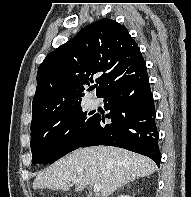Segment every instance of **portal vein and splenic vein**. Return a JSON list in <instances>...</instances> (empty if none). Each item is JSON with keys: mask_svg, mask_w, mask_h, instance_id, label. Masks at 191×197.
Returning <instances> with one entry per match:
<instances>
[{"mask_svg": "<svg viewBox=\"0 0 191 197\" xmlns=\"http://www.w3.org/2000/svg\"><path fill=\"white\" fill-rule=\"evenodd\" d=\"M75 182H78V181H75ZM100 189H101V185H100V184H95V185L93 186V191H94L95 193L100 192Z\"/></svg>", "mask_w": 191, "mask_h": 197, "instance_id": "18ae733b", "label": "portal vein and splenic vein"}]
</instances>
